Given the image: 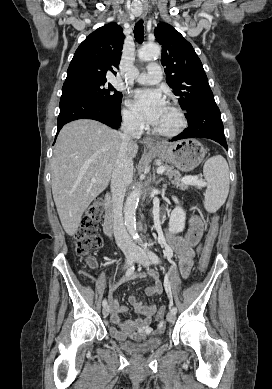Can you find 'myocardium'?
Wrapping results in <instances>:
<instances>
[{
  "label": "myocardium",
  "mask_w": 272,
  "mask_h": 389,
  "mask_svg": "<svg viewBox=\"0 0 272 389\" xmlns=\"http://www.w3.org/2000/svg\"><path fill=\"white\" fill-rule=\"evenodd\" d=\"M167 106L169 108H171L177 116L176 125L170 129H160V128H157L154 126L153 132L159 136L173 137V136L178 135L179 133H181L185 129V127L187 125V119H186V115H185L183 109L178 104L173 103V102H169L167 104Z\"/></svg>",
  "instance_id": "obj_1"
}]
</instances>
